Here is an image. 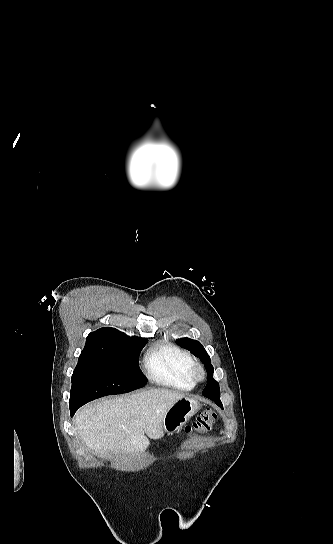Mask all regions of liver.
<instances>
[{
  "label": "liver",
  "mask_w": 333,
  "mask_h": 544,
  "mask_svg": "<svg viewBox=\"0 0 333 544\" xmlns=\"http://www.w3.org/2000/svg\"><path fill=\"white\" fill-rule=\"evenodd\" d=\"M184 394L165 389L110 398L82 407L75 424L83 442L100 455L144 452L163 433L168 409Z\"/></svg>",
  "instance_id": "1"
}]
</instances>
